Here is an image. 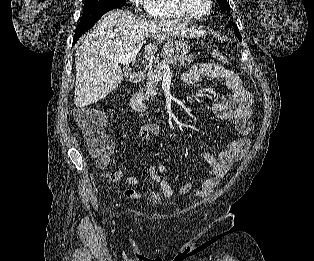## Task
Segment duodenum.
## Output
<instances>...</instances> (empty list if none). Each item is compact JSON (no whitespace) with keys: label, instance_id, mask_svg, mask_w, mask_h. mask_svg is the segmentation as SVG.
Wrapping results in <instances>:
<instances>
[{"label":"duodenum","instance_id":"1","mask_svg":"<svg viewBox=\"0 0 314 261\" xmlns=\"http://www.w3.org/2000/svg\"><path fill=\"white\" fill-rule=\"evenodd\" d=\"M145 79V74L143 72H135L131 76V83L134 86H139ZM130 103L132 109L139 114H147L148 113V105L143 99L141 91L138 88H135L130 97Z\"/></svg>","mask_w":314,"mask_h":261}]
</instances>
